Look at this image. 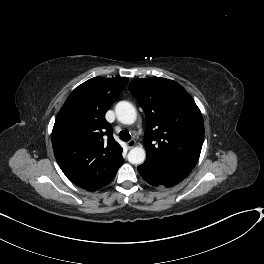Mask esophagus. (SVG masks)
I'll return each mask as SVG.
<instances>
[{
  "instance_id": "1",
  "label": "esophagus",
  "mask_w": 264,
  "mask_h": 264,
  "mask_svg": "<svg viewBox=\"0 0 264 264\" xmlns=\"http://www.w3.org/2000/svg\"><path fill=\"white\" fill-rule=\"evenodd\" d=\"M136 145V141L135 140H129L127 142V147L128 148H133Z\"/></svg>"
}]
</instances>
